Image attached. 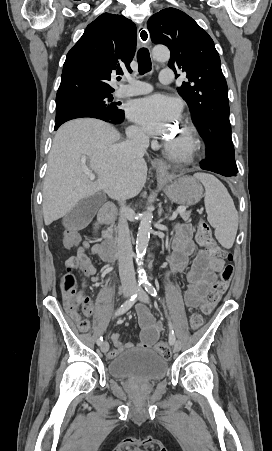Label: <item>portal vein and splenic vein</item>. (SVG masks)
<instances>
[{
  "mask_svg": "<svg viewBox=\"0 0 272 451\" xmlns=\"http://www.w3.org/2000/svg\"><path fill=\"white\" fill-rule=\"evenodd\" d=\"M84 174H86V176H88L89 180H95L96 176L95 174H92L91 170H86V172H84ZM176 212H178V214H182V212H186V208L185 206H179V208H177ZM176 216H173V218H171V220H175Z\"/></svg>",
  "mask_w": 272,
  "mask_h": 451,
  "instance_id": "1",
  "label": "portal vein and splenic vein"
}]
</instances>
